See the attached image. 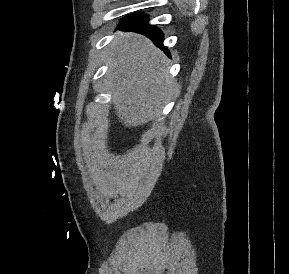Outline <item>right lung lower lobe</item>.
I'll return each instance as SVG.
<instances>
[{"mask_svg":"<svg viewBox=\"0 0 289 274\" xmlns=\"http://www.w3.org/2000/svg\"><path fill=\"white\" fill-rule=\"evenodd\" d=\"M120 29L127 31H135L149 37L158 47L169 55V51L163 46V33L160 29L148 23V19L144 15H139L132 20L119 26Z\"/></svg>","mask_w":289,"mask_h":274,"instance_id":"obj_1","label":"right lung lower lobe"}]
</instances>
